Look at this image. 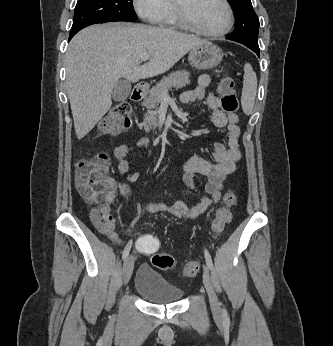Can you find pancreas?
<instances>
[{"instance_id": "pancreas-1", "label": "pancreas", "mask_w": 333, "mask_h": 346, "mask_svg": "<svg viewBox=\"0 0 333 346\" xmlns=\"http://www.w3.org/2000/svg\"><path fill=\"white\" fill-rule=\"evenodd\" d=\"M189 77L190 74L185 70L175 71L163 77V79L150 90L148 97H146L142 103L143 106L148 109L142 123L146 132L158 127L156 110L159 103L162 101L163 93L168 92L172 87L176 89L185 87L190 83Z\"/></svg>"}]
</instances>
